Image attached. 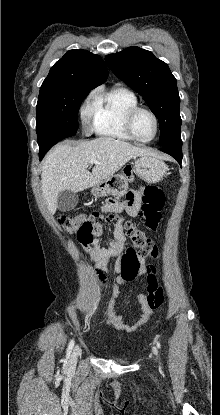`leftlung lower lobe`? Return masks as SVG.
I'll return each mask as SVG.
<instances>
[{"label":"left lung lower lobe","mask_w":220,"mask_h":415,"mask_svg":"<svg viewBox=\"0 0 220 415\" xmlns=\"http://www.w3.org/2000/svg\"><path fill=\"white\" fill-rule=\"evenodd\" d=\"M161 151L171 155L181 165L182 162V147H161Z\"/></svg>","instance_id":"0a47b994"}]
</instances>
